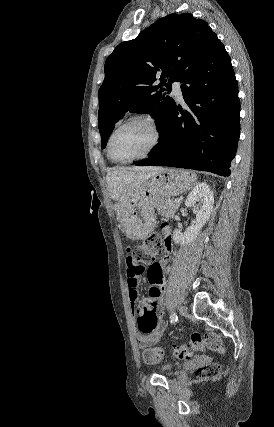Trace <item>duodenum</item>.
I'll return each instance as SVG.
<instances>
[{
  "label": "duodenum",
  "instance_id": "obj_1",
  "mask_svg": "<svg viewBox=\"0 0 274 427\" xmlns=\"http://www.w3.org/2000/svg\"><path fill=\"white\" fill-rule=\"evenodd\" d=\"M166 245H167V246H170V245H171V239H170V237H167V238H166Z\"/></svg>",
  "mask_w": 274,
  "mask_h": 427
}]
</instances>
